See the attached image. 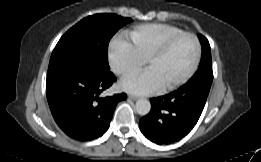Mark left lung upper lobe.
<instances>
[{"label": "left lung upper lobe", "instance_id": "5c2ea615", "mask_svg": "<svg viewBox=\"0 0 261 162\" xmlns=\"http://www.w3.org/2000/svg\"><path fill=\"white\" fill-rule=\"evenodd\" d=\"M198 38L202 46L201 62L198 70L188 82H193L198 80H207L212 82L213 71H212L210 45L208 40L203 35L199 34Z\"/></svg>", "mask_w": 261, "mask_h": 162}]
</instances>
